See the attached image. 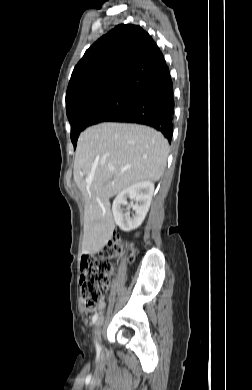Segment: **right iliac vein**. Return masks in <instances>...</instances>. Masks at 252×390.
<instances>
[{
	"label": "right iliac vein",
	"instance_id": "obj_1",
	"mask_svg": "<svg viewBox=\"0 0 252 390\" xmlns=\"http://www.w3.org/2000/svg\"><path fill=\"white\" fill-rule=\"evenodd\" d=\"M101 324H102V318H100V319L96 322V325H95V328H94V335H95V338H96L98 341H100Z\"/></svg>",
	"mask_w": 252,
	"mask_h": 390
}]
</instances>
